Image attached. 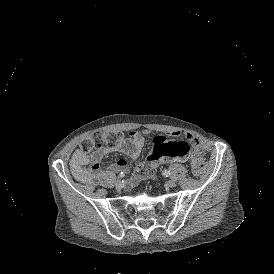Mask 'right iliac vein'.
I'll return each instance as SVG.
<instances>
[{"mask_svg": "<svg viewBox=\"0 0 274 274\" xmlns=\"http://www.w3.org/2000/svg\"><path fill=\"white\" fill-rule=\"evenodd\" d=\"M121 185H122V181H121L120 179H118V180L115 182V186H116L117 188H119V187H121Z\"/></svg>", "mask_w": 274, "mask_h": 274, "instance_id": "right-iliac-vein-1", "label": "right iliac vein"}]
</instances>
